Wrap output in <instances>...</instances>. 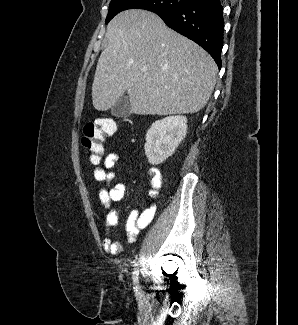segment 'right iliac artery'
<instances>
[{
    "label": "right iliac artery",
    "mask_w": 298,
    "mask_h": 325,
    "mask_svg": "<svg viewBox=\"0 0 298 325\" xmlns=\"http://www.w3.org/2000/svg\"><path fill=\"white\" fill-rule=\"evenodd\" d=\"M138 279H139V270H138V268H135V270L133 272V283L135 285L134 289L136 291H138V287H137Z\"/></svg>",
    "instance_id": "right-iliac-artery-1"
}]
</instances>
